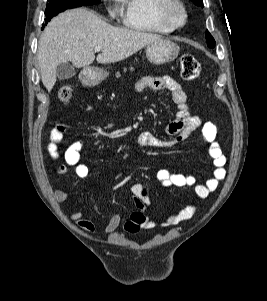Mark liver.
Instances as JSON below:
<instances>
[{
	"label": "liver",
	"mask_w": 267,
	"mask_h": 301,
	"mask_svg": "<svg viewBox=\"0 0 267 301\" xmlns=\"http://www.w3.org/2000/svg\"><path fill=\"white\" fill-rule=\"evenodd\" d=\"M160 39L157 34L114 27L86 8L65 11L48 23L39 41L42 83L48 92L52 90L61 63L71 62L76 68L88 69L95 60L96 46L102 48L96 61L110 64Z\"/></svg>",
	"instance_id": "liver-1"
}]
</instances>
